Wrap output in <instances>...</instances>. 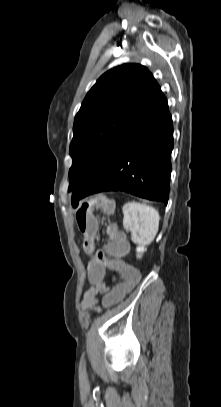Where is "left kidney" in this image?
Masks as SVG:
<instances>
[{
    "mask_svg": "<svg viewBox=\"0 0 221 407\" xmlns=\"http://www.w3.org/2000/svg\"><path fill=\"white\" fill-rule=\"evenodd\" d=\"M137 257L141 258L142 254L146 251V247L144 245H140L136 248Z\"/></svg>",
    "mask_w": 221,
    "mask_h": 407,
    "instance_id": "1",
    "label": "left kidney"
}]
</instances>
